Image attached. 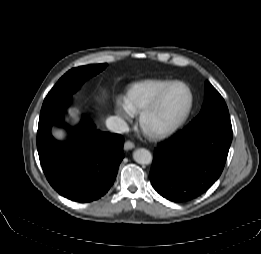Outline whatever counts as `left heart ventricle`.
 <instances>
[{
	"label": "left heart ventricle",
	"mask_w": 261,
	"mask_h": 254,
	"mask_svg": "<svg viewBox=\"0 0 261 254\" xmlns=\"http://www.w3.org/2000/svg\"><path fill=\"white\" fill-rule=\"evenodd\" d=\"M189 103V92L181 85L174 86L165 95L160 107L154 113L152 122L156 125H168L176 121Z\"/></svg>",
	"instance_id": "left-heart-ventricle-1"
}]
</instances>
